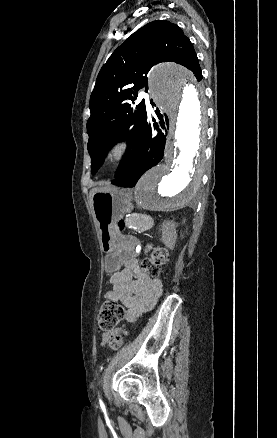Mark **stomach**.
<instances>
[{"instance_id":"1","label":"stomach","mask_w":277,"mask_h":438,"mask_svg":"<svg viewBox=\"0 0 277 438\" xmlns=\"http://www.w3.org/2000/svg\"><path fill=\"white\" fill-rule=\"evenodd\" d=\"M131 194L127 189L109 188L92 196L94 217L100 231V247L105 256L107 272L118 271L128 259L132 241L118 232L116 224L133 209Z\"/></svg>"}]
</instances>
